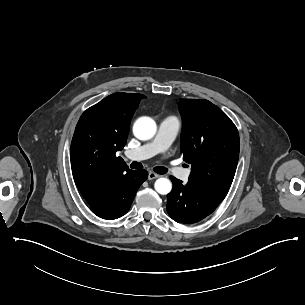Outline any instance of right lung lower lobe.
Listing matches in <instances>:
<instances>
[{"label": "right lung lower lobe", "instance_id": "1", "mask_svg": "<svg viewBox=\"0 0 305 305\" xmlns=\"http://www.w3.org/2000/svg\"><path fill=\"white\" fill-rule=\"evenodd\" d=\"M147 177L146 170H130L85 200L98 217L117 219L128 212L138 188Z\"/></svg>", "mask_w": 305, "mask_h": 305}]
</instances>
